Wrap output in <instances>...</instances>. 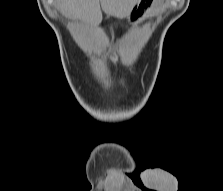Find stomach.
Segmentation results:
<instances>
[{"label":"stomach","instance_id":"obj_1","mask_svg":"<svg viewBox=\"0 0 223 191\" xmlns=\"http://www.w3.org/2000/svg\"><path fill=\"white\" fill-rule=\"evenodd\" d=\"M160 0H137L127 18L132 24H138L151 15Z\"/></svg>","mask_w":223,"mask_h":191}]
</instances>
